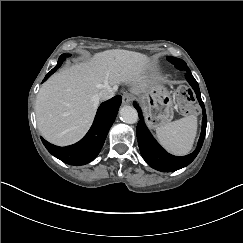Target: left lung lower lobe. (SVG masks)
Masks as SVG:
<instances>
[{"instance_id":"1","label":"left lung lower lobe","mask_w":243,"mask_h":243,"mask_svg":"<svg viewBox=\"0 0 243 243\" xmlns=\"http://www.w3.org/2000/svg\"><path fill=\"white\" fill-rule=\"evenodd\" d=\"M180 70L186 72V79L191 85V87L193 88L194 92L196 93V97L203 110L201 135L198 141L197 148L193 153L182 157L173 156L167 153L153 138V136L151 135V133L149 132L148 128L144 123L141 109L136 103L134 104L135 108L138 110L139 117H140V121L138 122L136 133H137V140H138V145H139L141 155L149 166L162 172H173L189 165L198 155L202 147L205 138V133H206V124H207L206 111L201 99L199 85L195 80V78L192 76L191 71L188 67H183Z\"/></svg>"}]
</instances>
